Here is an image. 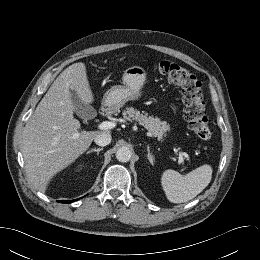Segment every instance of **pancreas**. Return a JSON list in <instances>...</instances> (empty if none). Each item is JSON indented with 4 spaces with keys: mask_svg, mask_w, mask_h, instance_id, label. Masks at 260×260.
I'll return each instance as SVG.
<instances>
[{
    "mask_svg": "<svg viewBox=\"0 0 260 260\" xmlns=\"http://www.w3.org/2000/svg\"><path fill=\"white\" fill-rule=\"evenodd\" d=\"M124 119L133 122L136 121L154 137L161 140L165 133L170 129L169 125L165 121H161L158 117L150 116L145 111H138L133 107H128L123 112Z\"/></svg>",
    "mask_w": 260,
    "mask_h": 260,
    "instance_id": "cf45deb5",
    "label": "pancreas"
}]
</instances>
